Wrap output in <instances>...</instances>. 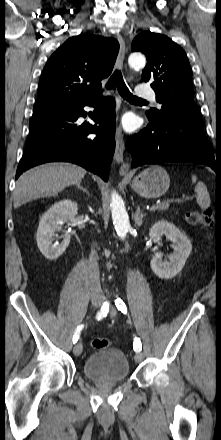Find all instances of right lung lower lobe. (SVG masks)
<instances>
[{"instance_id":"right-lung-lower-lobe-1","label":"right lung lower lobe","mask_w":221,"mask_h":440,"mask_svg":"<svg viewBox=\"0 0 221 440\" xmlns=\"http://www.w3.org/2000/svg\"><path fill=\"white\" fill-rule=\"evenodd\" d=\"M103 100L98 97L34 110L16 179L39 164L65 161L78 164L107 181L115 150V103L112 99L101 103ZM84 106L95 108L96 111L88 115L99 127L77 125V119L87 115Z\"/></svg>"}]
</instances>
